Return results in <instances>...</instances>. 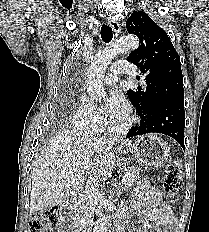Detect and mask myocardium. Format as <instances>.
<instances>
[{
    "instance_id": "myocardium-1",
    "label": "myocardium",
    "mask_w": 209,
    "mask_h": 232,
    "mask_svg": "<svg viewBox=\"0 0 209 232\" xmlns=\"http://www.w3.org/2000/svg\"><path fill=\"white\" fill-rule=\"evenodd\" d=\"M135 118L132 114H129L127 118L120 124H117L111 128V132L115 134L125 133L133 125Z\"/></svg>"
}]
</instances>
